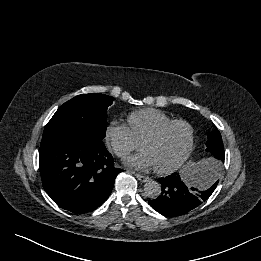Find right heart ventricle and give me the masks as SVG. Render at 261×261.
Segmentation results:
<instances>
[{"label":"right heart ventricle","instance_id":"right-heart-ventricle-1","mask_svg":"<svg viewBox=\"0 0 261 261\" xmlns=\"http://www.w3.org/2000/svg\"><path fill=\"white\" fill-rule=\"evenodd\" d=\"M170 120L169 115L154 108L133 111L126 118L127 127L138 142Z\"/></svg>","mask_w":261,"mask_h":261}]
</instances>
